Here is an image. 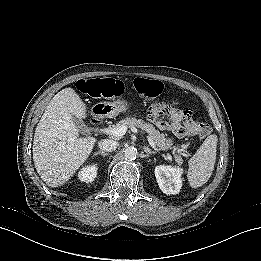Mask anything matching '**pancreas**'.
<instances>
[{
	"label": "pancreas",
	"instance_id": "cf45deb5",
	"mask_svg": "<svg viewBox=\"0 0 261 261\" xmlns=\"http://www.w3.org/2000/svg\"><path fill=\"white\" fill-rule=\"evenodd\" d=\"M120 125H125L129 128L136 127L140 128L152 138L155 146H157L160 150H167L171 148V141L165 137L164 134L160 133L155 127L150 124L146 123L142 119H136L135 117H126L125 119L119 122ZM175 160L178 162L179 157L176 155Z\"/></svg>",
	"mask_w": 261,
	"mask_h": 261
}]
</instances>
